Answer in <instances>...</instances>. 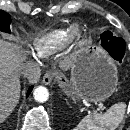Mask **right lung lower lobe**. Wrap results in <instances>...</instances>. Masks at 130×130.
<instances>
[{"mask_svg": "<svg viewBox=\"0 0 130 130\" xmlns=\"http://www.w3.org/2000/svg\"><path fill=\"white\" fill-rule=\"evenodd\" d=\"M32 89H33V86L29 87L28 92H27V95H26L27 97H28V95L31 93Z\"/></svg>", "mask_w": 130, "mask_h": 130, "instance_id": "1", "label": "right lung lower lobe"}]
</instances>
